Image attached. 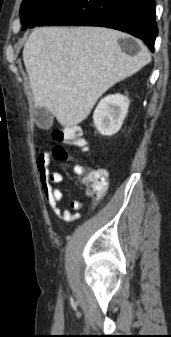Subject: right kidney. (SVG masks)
Here are the masks:
<instances>
[{"instance_id":"1","label":"right kidney","mask_w":171,"mask_h":337,"mask_svg":"<svg viewBox=\"0 0 171 337\" xmlns=\"http://www.w3.org/2000/svg\"><path fill=\"white\" fill-rule=\"evenodd\" d=\"M129 104L128 97L121 94L108 95L100 100L93 114L94 125L100 134L111 136L120 130Z\"/></svg>"}]
</instances>
